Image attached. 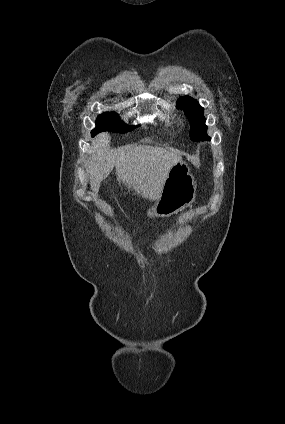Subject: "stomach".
I'll use <instances>...</instances> for the list:
<instances>
[{
	"mask_svg": "<svg viewBox=\"0 0 285 424\" xmlns=\"http://www.w3.org/2000/svg\"><path fill=\"white\" fill-rule=\"evenodd\" d=\"M195 197L194 176L189 166L179 160L171 167L159 198L147 210V217H169L191 205Z\"/></svg>",
	"mask_w": 285,
	"mask_h": 424,
	"instance_id": "1",
	"label": "stomach"
}]
</instances>
